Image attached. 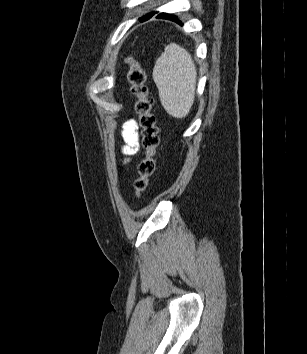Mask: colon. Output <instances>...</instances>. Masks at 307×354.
Instances as JSON below:
<instances>
[{"label":"colon","mask_w":307,"mask_h":354,"mask_svg":"<svg viewBox=\"0 0 307 354\" xmlns=\"http://www.w3.org/2000/svg\"><path fill=\"white\" fill-rule=\"evenodd\" d=\"M128 80L136 99V111L142 127L144 156L138 166V177L134 181L135 195L141 197L147 190L149 179L155 168L154 155L159 144L156 117L152 112V100L148 97L145 72L133 57L127 58Z\"/></svg>","instance_id":"1"}]
</instances>
